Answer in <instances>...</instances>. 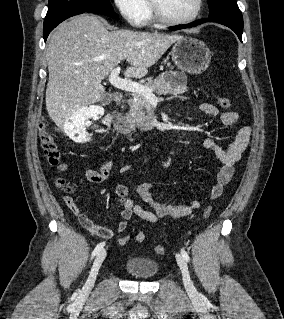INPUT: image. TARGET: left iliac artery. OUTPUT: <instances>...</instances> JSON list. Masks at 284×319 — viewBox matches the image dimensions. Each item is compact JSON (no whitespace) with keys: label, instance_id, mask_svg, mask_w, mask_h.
Returning a JSON list of instances; mask_svg holds the SVG:
<instances>
[{"label":"left iliac artery","instance_id":"obj_1","mask_svg":"<svg viewBox=\"0 0 284 319\" xmlns=\"http://www.w3.org/2000/svg\"><path fill=\"white\" fill-rule=\"evenodd\" d=\"M181 254L186 261L190 260L188 253L184 249H181Z\"/></svg>","mask_w":284,"mask_h":319}]
</instances>
